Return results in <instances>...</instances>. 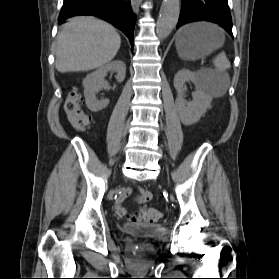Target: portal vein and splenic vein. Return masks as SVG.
<instances>
[{"label": "portal vein and splenic vein", "mask_w": 279, "mask_h": 279, "mask_svg": "<svg viewBox=\"0 0 279 279\" xmlns=\"http://www.w3.org/2000/svg\"><path fill=\"white\" fill-rule=\"evenodd\" d=\"M201 63H204V59H201Z\"/></svg>", "instance_id": "obj_1"}]
</instances>
